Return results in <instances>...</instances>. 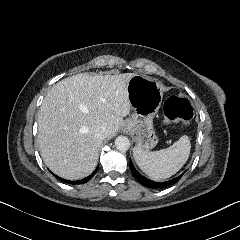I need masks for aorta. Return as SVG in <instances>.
I'll list each match as a JSON object with an SVG mask.
<instances>
[{
  "label": "aorta",
  "instance_id": "762f6f07",
  "mask_svg": "<svg viewBox=\"0 0 240 240\" xmlns=\"http://www.w3.org/2000/svg\"><path fill=\"white\" fill-rule=\"evenodd\" d=\"M130 146L129 139L126 136L120 135L115 138V147L118 150H127Z\"/></svg>",
  "mask_w": 240,
  "mask_h": 240
}]
</instances>
